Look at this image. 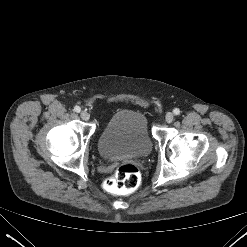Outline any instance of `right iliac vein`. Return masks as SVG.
<instances>
[{
  "mask_svg": "<svg viewBox=\"0 0 247 247\" xmlns=\"http://www.w3.org/2000/svg\"><path fill=\"white\" fill-rule=\"evenodd\" d=\"M80 117L82 118V120L88 121L90 118V115L87 111L84 110L80 113Z\"/></svg>",
  "mask_w": 247,
  "mask_h": 247,
  "instance_id": "1",
  "label": "right iliac vein"
}]
</instances>
